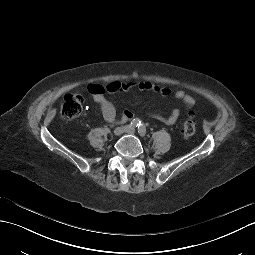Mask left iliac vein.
Instances as JSON below:
<instances>
[{
	"label": "left iliac vein",
	"mask_w": 255,
	"mask_h": 255,
	"mask_svg": "<svg viewBox=\"0 0 255 255\" xmlns=\"http://www.w3.org/2000/svg\"><path fill=\"white\" fill-rule=\"evenodd\" d=\"M125 132L128 134H132V135H134L136 133L133 128H127Z\"/></svg>",
	"instance_id": "left-iliac-vein-1"
}]
</instances>
